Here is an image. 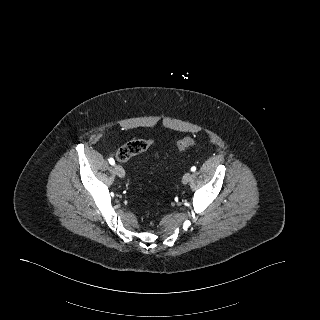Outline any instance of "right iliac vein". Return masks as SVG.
Masks as SVG:
<instances>
[{
  "label": "right iliac vein",
  "instance_id": "obj_1",
  "mask_svg": "<svg viewBox=\"0 0 320 320\" xmlns=\"http://www.w3.org/2000/svg\"><path fill=\"white\" fill-rule=\"evenodd\" d=\"M115 172L120 178L125 177V170L123 169V167L121 165L115 166Z\"/></svg>",
  "mask_w": 320,
  "mask_h": 320
}]
</instances>
